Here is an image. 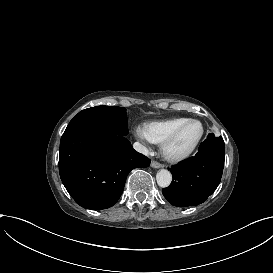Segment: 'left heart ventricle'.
<instances>
[{
  "label": "left heart ventricle",
  "instance_id": "left-heart-ventricle-1",
  "mask_svg": "<svg viewBox=\"0 0 273 273\" xmlns=\"http://www.w3.org/2000/svg\"><path fill=\"white\" fill-rule=\"evenodd\" d=\"M201 132L202 125L199 122H192L188 124L177 140L175 149L177 151L187 150L197 140Z\"/></svg>",
  "mask_w": 273,
  "mask_h": 273
}]
</instances>
